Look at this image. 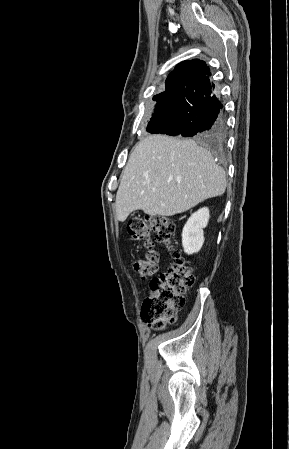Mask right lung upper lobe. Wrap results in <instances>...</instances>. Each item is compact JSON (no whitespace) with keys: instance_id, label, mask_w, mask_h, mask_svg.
I'll return each mask as SVG.
<instances>
[{"instance_id":"right-lung-upper-lobe-1","label":"right lung upper lobe","mask_w":289,"mask_h":449,"mask_svg":"<svg viewBox=\"0 0 289 449\" xmlns=\"http://www.w3.org/2000/svg\"><path fill=\"white\" fill-rule=\"evenodd\" d=\"M210 75V69L204 61L199 59L182 61L176 65L175 69L167 77L165 82L166 91L163 93L168 94L170 86L180 79L203 80L209 79Z\"/></svg>"}]
</instances>
